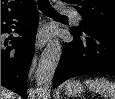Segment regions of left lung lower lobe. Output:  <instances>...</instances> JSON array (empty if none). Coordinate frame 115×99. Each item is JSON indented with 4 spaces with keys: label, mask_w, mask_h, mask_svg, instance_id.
Returning <instances> with one entry per match:
<instances>
[{
    "label": "left lung lower lobe",
    "mask_w": 115,
    "mask_h": 99,
    "mask_svg": "<svg viewBox=\"0 0 115 99\" xmlns=\"http://www.w3.org/2000/svg\"><path fill=\"white\" fill-rule=\"evenodd\" d=\"M66 43L56 68L53 85L65 80L90 74L115 76V34L99 31L77 33Z\"/></svg>",
    "instance_id": "1"
}]
</instances>
